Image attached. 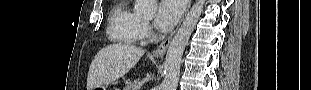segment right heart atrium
Listing matches in <instances>:
<instances>
[{
    "mask_svg": "<svg viewBox=\"0 0 311 90\" xmlns=\"http://www.w3.org/2000/svg\"><path fill=\"white\" fill-rule=\"evenodd\" d=\"M140 33L141 37H145L150 33V26L146 20L141 19L140 21Z\"/></svg>",
    "mask_w": 311,
    "mask_h": 90,
    "instance_id": "1",
    "label": "right heart atrium"
}]
</instances>
